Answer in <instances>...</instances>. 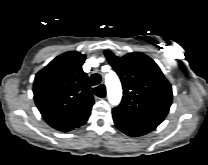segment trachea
Returning a JSON list of instances; mask_svg holds the SVG:
<instances>
[{
  "label": "trachea",
  "mask_w": 208,
  "mask_h": 165,
  "mask_svg": "<svg viewBox=\"0 0 208 165\" xmlns=\"http://www.w3.org/2000/svg\"><path fill=\"white\" fill-rule=\"evenodd\" d=\"M100 81H101V76L99 74L95 73L91 75V78H90L91 85L93 86L98 85ZM93 93L97 95L98 97L103 98L105 96V89L103 88L102 85H100L93 89Z\"/></svg>",
  "instance_id": "obj_1"
}]
</instances>
